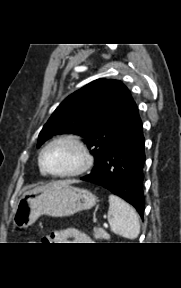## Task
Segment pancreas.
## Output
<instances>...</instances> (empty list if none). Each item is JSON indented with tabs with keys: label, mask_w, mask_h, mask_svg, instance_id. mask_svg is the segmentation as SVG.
I'll use <instances>...</instances> for the list:
<instances>
[{
	"label": "pancreas",
	"mask_w": 181,
	"mask_h": 288,
	"mask_svg": "<svg viewBox=\"0 0 181 288\" xmlns=\"http://www.w3.org/2000/svg\"><path fill=\"white\" fill-rule=\"evenodd\" d=\"M94 237L97 240H102V239L106 240V239H109L110 236L104 229L95 228L94 229Z\"/></svg>",
	"instance_id": "pancreas-1"
}]
</instances>
